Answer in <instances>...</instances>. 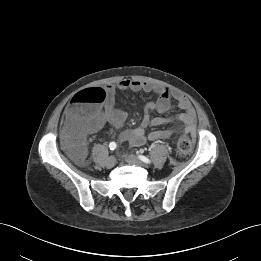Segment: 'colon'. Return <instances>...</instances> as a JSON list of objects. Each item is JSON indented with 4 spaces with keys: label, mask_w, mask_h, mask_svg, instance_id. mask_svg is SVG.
<instances>
[{
    "label": "colon",
    "mask_w": 261,
    "mask_h": 261,
    "mask_svg": "<svg viewBox=\"0 0 261 261\" xmlns=\"http://www.w3.org/2000/svg\"><path fill=\"white\" fill-rule=\"evenodd\" d=\"M105 99V91L96 87L80 91L67 105L63 144L77 161L83 160L85 156L84 143L88 120ZM191 149L192 142L189 137L180 136L177 139L176 152L179 157L187 156Z\"/></svg>",
    "instance_id": "5ec220e1"
}]
</instances>
